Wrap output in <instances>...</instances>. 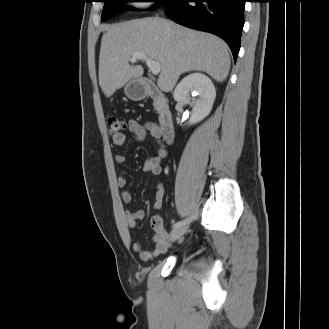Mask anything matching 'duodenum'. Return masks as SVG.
Returning a JSON list of instances; mask_svg holds the SVG:
<instances>
[{"instance_id": "1", "label": "duodenum", "mask_w": 329, "mask_h": 329, "mask_svg": "<svg viewBox=\"0 0 329 329\" xmlns=\"http://www.w3.org/2000/svg\"><path fill=\"white\" fill-rule=\"evenodd\" d=\"M142 87L144 93L155 100L162 137L166 142H172L174 138L173 116L168 107L167 98L150 79H145Z\"/></svg>"}]
</instances>
